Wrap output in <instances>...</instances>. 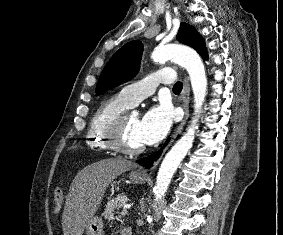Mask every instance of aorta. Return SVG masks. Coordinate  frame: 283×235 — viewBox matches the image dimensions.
<instances>
[{"mask_svg":"<svg viewBox=\"0 0 283 235\" xmlns=\"http://www.w3.org/2000/svg\"><path fill=\"white\" fill-rule=\"evenodd\" d=\"M151 58L155 62L174 60L185 68L189 74L194 95V117L192 118L191 125L166 154L157 174L154 193L155 200L159 201L165 196L175 171L192 147L195 131L198 128L199 114L206 97L207 78L200 56L189 47L178 44L161 45L153 51Z\"/></svg>","mask_w":283,"mask_h":235,"instance_id":"1","label":"aorta"}]
</instances>
